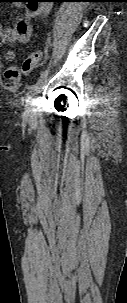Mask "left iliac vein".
Here are the masks:
<instances>
[{"instance_id": "1", "label": "left iliac vein", "mask_w": 127, "mask_h": 303, "mask_svg": "<svg viewBox=\"0 0 127 303\" xmlns=\"http://www.w3.org/2000/svg\"><path fill=\"white\" fill-rule=\"evenodd\" d=\"M48 76V75H47ZM47 76L45 77L42 84L47 81ZM25 115L28 119H32L34 117V107H33V99H28L25 105Z\"/></svg>"}]
</instances>
